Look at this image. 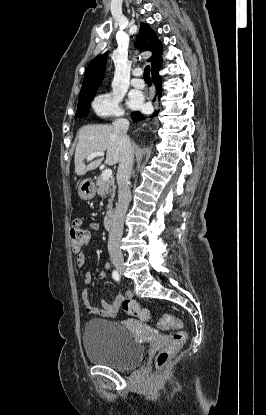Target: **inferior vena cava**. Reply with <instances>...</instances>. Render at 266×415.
Wrapping results in <instances>:
<instances>
[{
    "label": "inferior vena cava",
    "mask_w": 266,
    "mask_h": 415,
    "mask_svg": "<svg viewBox=\"0 0 266 415\" xmlns=\"http://www.w3.org/2000/svg\"><path fill=\"white\" fill-rule=\"evenodd\" d=\"M114 134L120 150L119 166L117 171L118 202L114 211L111 230L108 239V252L111 258L122 257L120 248L123 234L124 218L131 200L129 179L133 168L134 149L127 136L129 121L124 118L113 122Z\"/></svg>",
    "instance_id": "1"
}]
</instances>
